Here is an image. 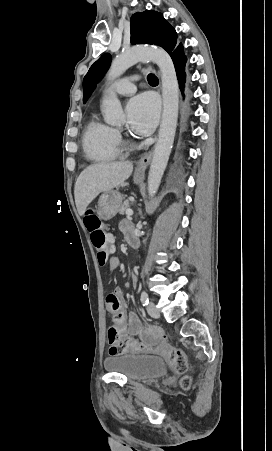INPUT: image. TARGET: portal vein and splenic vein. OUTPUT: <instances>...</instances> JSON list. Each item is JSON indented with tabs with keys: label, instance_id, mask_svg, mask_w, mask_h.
Here are the masks:
<instances>
[{
	"label": "portal vein and splenic vein",
	"instance_id": "18ae733b",
	"mask_svg": "<svg viewBox=\"0 0 272 451\" xmlns=\"http://www.w3.org/2000/svg\"><path fill=\"white\" fill-rule=\"evenodd\" d=\"M125 214H126V218H131V216H133L132 210H126Z\"/></svg>",
	"mask_w": 272,
	"mask_h": 451
}]
</instances>
